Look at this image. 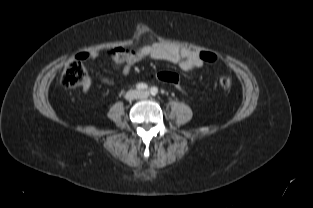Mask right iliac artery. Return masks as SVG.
Listing matches in <instances>:
<instances>
[{"label":"right iliac artery","mask_w":313,"mask_h":208,"mask_svg":"<svg viewBox=\"0 0 313 208\" xmlns=\"http://www.w3.org/2000/svg\"><path fill=\"white\" fill-rule=\"evenodd\" d=\"M136 88L138 90H146L148 88V86L145 83H139V84L136 85Z\"/></svg>","instance_id":"right-iliac-artery-1"}]
</instances>
